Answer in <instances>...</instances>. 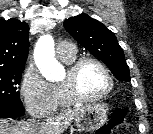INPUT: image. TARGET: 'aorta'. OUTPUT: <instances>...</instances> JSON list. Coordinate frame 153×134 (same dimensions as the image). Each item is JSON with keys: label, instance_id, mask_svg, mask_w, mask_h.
I'll return each mask as SVG.
<instances>
[{"label": "aorta", "instance_id": "762f6f07", "mask_svg": "<svg viewBox=\"0 0 153 134\" xmlns=\"http://www.w3.org/2000/svg\"><path fill=\"white\" fill-rule=\"evenodd\" d=\"M34 58L42 76L46 80H54L61 70V65L55 58L52 37L45 35L39 38L35 46Z\"/></svg>", "mask_w": 153, "mask_h": 134}]
</instances>
